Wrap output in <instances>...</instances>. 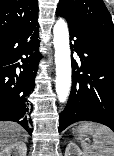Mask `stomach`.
I'll return each mask as SVG.
<instances>
[{
    "mask_svg": "<svg viewBox=\"0 0 114 156\" xmlns=\"http://www.w3.org/2000/svg\"><path fill=\"white\" fill-rule=\"evenodd\" d=\"M73 133H74L75 135L78 136V139H79L80 141H81V140H84V141L87 140V136H83V137L80 136L79 128L74 129V130H73Z\"/></svg>",
    "mask_w": 114,
    "mask_h": 156,
    "instance_id": "stomach-1",
    "label": "stomach"
}]
</instances>
